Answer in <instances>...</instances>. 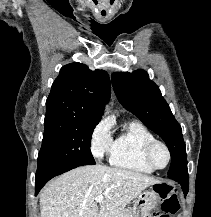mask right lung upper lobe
<instances>
[{
  "label": "right lung upper lobe",
  "instance_id": "right-lung-upper-lobe-1",
  "mask_svg": "<svg viewBox=\"0 0 211 217\" xmlns=\"http://www.w3.org/2000/svg\"><path fill=\"white\" fill-rule=\"evenodd\" d=\"M109 96L110 80L106 71H92L78 62L65 65L52 84L45 120L72 118L99 122Z\"/></svg>",
  "mask_w": 211,
  "mask_h": 217
}]
</instances>
